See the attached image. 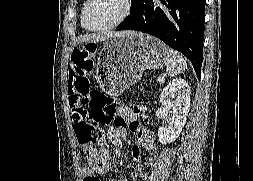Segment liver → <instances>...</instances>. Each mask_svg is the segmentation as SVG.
<instances>
[{
    "label": "liver",
    "instance_id": "liver-1",
    "mask_svg": "<svg viewBox=\"0 0 253 181\" xmlns=\"http://www.w3.org/2000/svg\"><path fill=\"white\" fill-rule=\"evenodd\" d=\"M133 31H122V32H105V33H93L78 39L77 43H98L108 38L120 36L123 34H131Z\"/></svg>",
    "mask_w": 253,
    "mask_h": 181
}]
</instances>
